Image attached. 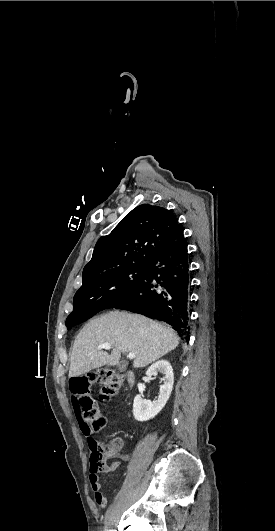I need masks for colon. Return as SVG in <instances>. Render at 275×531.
Returning <instances> with one entry per match:
<instances>
[{
    "mask_svg": "<svg viewBox=\"0 0 275 531\" xmlns=\"http://www.w3.org/2000/svg\"><path fill=\"white\" fill-rule=\"evenodd\" d=\"M89 376L91 378L81 376L72 377V396L81 397L82 404L80 407H76L82 411L79 413V418L86 424L91 423V428L95 432L101 422H107V418L99 411L95 404V396L92 394V381L101 385V398L107 399L111 393L122 386L123 376L109 369L90 372ZM119 451V440H106L103 443L102 458L99 460L98 470L105 469V472H108L110 469L116 467V456Z\"/></svg>",
    "mask_w": 275,
    "mask_h": 531,
    "instance_id": "1",
    "label": "colon"
}]
</instances>
